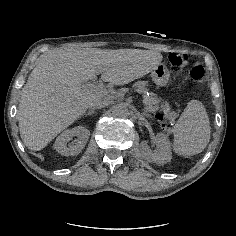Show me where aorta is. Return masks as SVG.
<instances>
[{
    "instance_id": "1",
    "label": "aorta",
    "mask_w": 236,
    "mask_h": 236,
    "mask_svg": "<svg viewBox=\"0 0 236 236\" xmlns=\"http://www.w3.org/2000/svg\"><path fill=\"white\" fill-rule=\"evenodd\" d=\"M112 114L118 118H126L129 115V109L126 104L118 103L112 107Z\"/></svg>"
}]
</instances>
